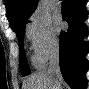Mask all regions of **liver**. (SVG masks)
<instances>
[{"mask_svg":"<svg viewBox=\"0 0 89 89\" xmlns=\"http://www.w3.org/2000/svg\"><path fill=\"white\" fill-rule=\"evenodd\" d=\"M60 81L57 77L47 73L40 72L31 75L23 85V89H61Z\"/></svg>","mask_w":89,"mask_h":89,"instance_id":"obj_1","label":"liver"}]
</instances>
